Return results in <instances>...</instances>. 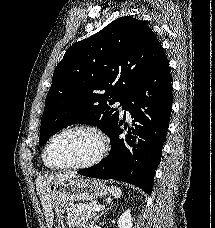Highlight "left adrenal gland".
<instances>
[{
    "label": "left adrenal gland",
    "mask_w": 215,
    "mask_h": 228,
    "mask_svg": "<svg viewBox=\"0 0 215 228\" xmlns=\"http://www.w3.org/2000/svg\"><path fill=\"white\" fill-rule=\"evenodd\" d=\"M106 212V210H105ZM105 212H101V214H98V216H96V218H94L92 224H95L96 220H98V218H101V216H103V214H105Z\"/></svg>",
    "instance_id": "obj_1"
}]
</instances>
